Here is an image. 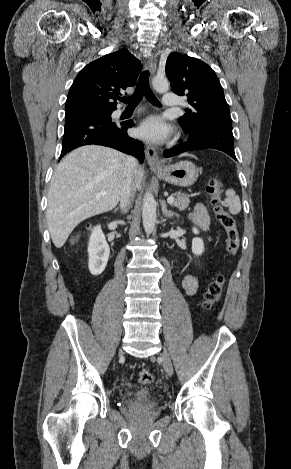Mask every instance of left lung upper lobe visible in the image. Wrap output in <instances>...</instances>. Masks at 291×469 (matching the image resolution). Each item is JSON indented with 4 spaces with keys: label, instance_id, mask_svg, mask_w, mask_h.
Instances as JSON below:
<instances>
[{
    "label": "left lung upper lobe",
    "instance_id": "5c2ea615",
    "mask_svg": "<svg viewBox=\"0 0 291 469\" xmlns=\"http://www.w3.org/2000/svg\"><path fill=\"white\" fill-rule=\"evenodd\" d=\"M173 91L188 96L190 109L179 118L181 127L195 133L207 128L232 131V120L223 89L215 72L203 61L177 52L166 62Z\"/></svg>",
    "mask_w": 291,
    "mask_h": 469
}]
</instances>
